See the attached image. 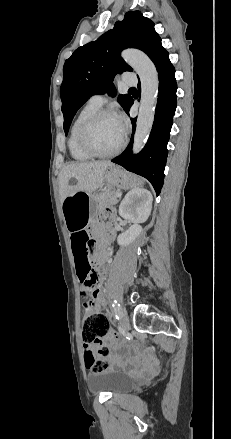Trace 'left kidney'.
Instances as JSON below:
<instances>
[{"instance_id": "obj_1", "label": "left kidney", "mask_w": 231, "mask_h": 439, "mask_svg": "<svg viewBox=\"0 0 231 439\" xmlns=\"http://www.w3.org/2000/svg\"><path fill=\"white\" fill-rule=\"evenodd\" d=\"M153 197L150 191L144 188H135L129 191L119 206V215L129 220L133 225L120 234L117 242L121 246L131 244L142 232L140 223L145 222L152 209Z\"/></svg>"}]
</instances>
